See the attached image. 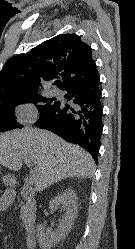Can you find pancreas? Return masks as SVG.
Wrapping results in <instances>:
<instances>
[{
    "instance_id": "pancreas-1",
    "label": "pancreas",
    "mask_w": 135,
    "mask_h": 249,
    "mask_svg": "<svg viewBox=\"0 0 135 249\" xmlns=\"http://www.w3.org/2000/svg\"><path fill=\"white\" fill-rule=\"evenodd\" d=\"M20 213H21V218L26 223L28 218L31 217L34 213V206L27 203L24 206H22Z\"/></svg>"
}]
</instances>
